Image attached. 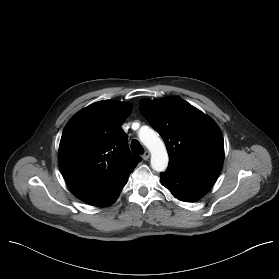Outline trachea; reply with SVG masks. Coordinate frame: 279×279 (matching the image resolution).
<instances>
[{
  "label": "trachea",
  "instance_id": "obj_1",
  "mask_svg": "<svg viewBox=\"0 0 279 279\" xmlns=\"http://www.w3.org/2000/svg\"><path fill=\"white\" fill-rule=\"evenodd\" d=\"M131 149L135 154H138V155H142L144 153V148L139 143V141L136 139L132 140Z\"/></svg>",
  "mask_w": 279,
  "mask_h": 279
}]
</instances>
